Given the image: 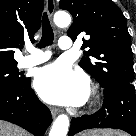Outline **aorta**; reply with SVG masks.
Segmentation results:
<instances>
[{"label": "aorta", "mask_w": 136, "mask_h": 136, "mask_svg": "<svg viewBox=\"0 0 136 136\" xmlns=\"http://www.w3.org/2000/svg\"><path fill=\"white\" fill-rule=\"evenodd\" d=\"M54 23L58 27H67L71 23V17L64 11H58L54 15ZM69 128V118L67 115H59L53 123L49 136H66Z\"/></svg>", "instance_id": "obj_1"}]
</instances>
